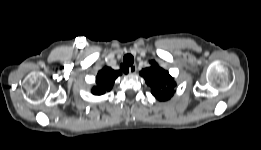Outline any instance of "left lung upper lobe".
Here are the masks:
<instances>
[{
  "label": "left lung upper lobe",
  "instance_id": "5c2ea615",
  "mask_svg": "<svg viewBox=\"0 0 261 150\" xmlns=\"http://www.w3.org/2000/svg\"><path fill=\"white\" fill-rule=\"evenodd\" d=\"M151 66L143 69L140 75L145 82L152 88V94L159 101H166L174 94L176 83L170 74L158 66L155 61H151Z\"/></svg>",
  "mask_w": 261,
  "mask_h": 150
}]
</instances>
